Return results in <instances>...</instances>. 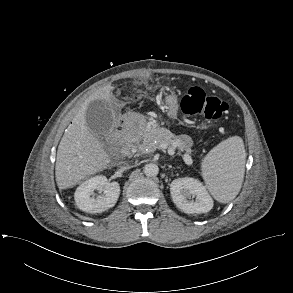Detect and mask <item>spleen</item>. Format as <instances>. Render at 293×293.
<instances>
[{"mask_svg": "<svg viewBox=\"0 0 293 293\" xmlns=\"http://www.w3.org/2000/svg\"><path fill=\"white\" fill-rule=\"evenodd\" d=\"M246 152L239 136L215 146L202 161V177L214 198L228 203L239 193L245 171Z\"/></svg>", "mask_w": 293, "mask_h": 293, "instance_id": "spleen-1", "label": "spleen"}]
</instances>
